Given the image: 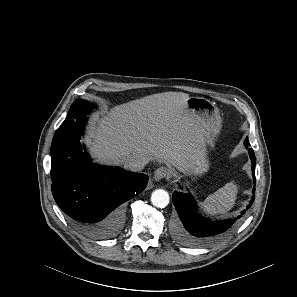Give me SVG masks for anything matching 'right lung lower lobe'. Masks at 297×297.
I'll return each instance as SVG.
<instances>
[{"label":"right lung lower lobe","instance_id":"1","mask_svg":"<svg viewBox=\"0 0 297 297\" xmlns=\"http://www.w3.org/2000/svg\"><path fill=\"white\" fill-rule=\"evenodd\" d=\"M86 116L61 125L51 146L54 199L74 227L87 237L106 239L123 224L122 204L141 193L148 176L91 162L80 136Z\"/></svg>","mask_w":297,"mask_h":297}]
</instances>
